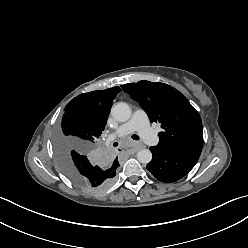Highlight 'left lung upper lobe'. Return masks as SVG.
Wrapping results in <instances>:
<instances>
[{"label":"left lung upper lobe","mask_w":248,"mask_h":248,"mask_svg":"<svg viewBox=\"0 0 248 248\" xmlns=\"http://www.w3.org/2000/svg\"><path fill=\"white\" fill-rule=\"evenodd\" d=\"M137 101L151 122H159L158 147L163 149L203 144L201 118L187 98L175 88L159 82L139 81L121 86Z\"/></svg>","instance_id":"left-lung-upper-lobe-1"}]
</instances>
